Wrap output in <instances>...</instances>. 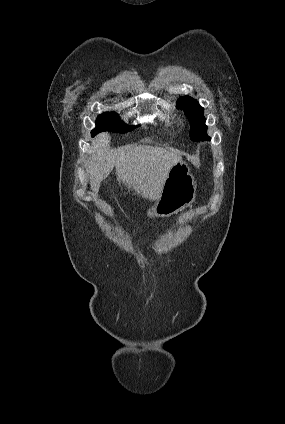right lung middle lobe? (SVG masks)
Segmentation results:
<instances>
[{
  "mask_svg": "<svg viewBox=\"0 0 285 424\" xmlns=\"http://www.w3.org/2000/svg\"><path fill=\"white\" fill-rule=\"evenodd\" d=\"M135 126H127L120 120L115 112H105L96 119V128L92 131L94 136L101 131H111L116 133H126L133 130Z\"/></svg>",
  "mask_w": 285,
  "mask_h": 424,
  "instance_id": "obj_1",
  "label": "right lung middle lobe"
}]
</instances>
